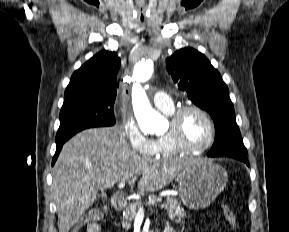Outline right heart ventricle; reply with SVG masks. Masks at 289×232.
I'll list each match as a JSON object with an SVG mask.
<instances>
[{"instance_id": "1", "label": "right heart ventricle", "mask_w": 289, "mask_h": 232, "mask_svg": "<svg viewBox=\"0 0 289 232\" xmlns=\"http://www.w3.org/2000/svg\"><path fill=\"white\" fill-rule=\"evenodd\" d=\"M175 110V107L172 106L169 109L163 110L168 115H171ZM182 152L177 150L166 134L158 136L156 139H154V150L151 156L156 158H168L173 157L176 155L181 154Z\"/></svg>"}]
</instances>
